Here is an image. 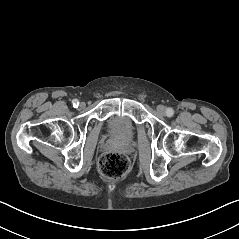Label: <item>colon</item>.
<instances>
[{
	"instance_id": "colon-1",
	"label": "colon",
	"mask_w": 239,
	"mask_h": 239,
	"mask_svg": "<svg viewBox=\"0 0 239 239\" xmlns=\"http://www.w3.org/2000/svg\"><path fill=\"white\" fill-rule=\"evenodd\" d=\"M130 167L128 157L123 153L108 152L99 162L100 172L107 178L116 179L124 176Z\"/></svg>"
}]
</instances>
